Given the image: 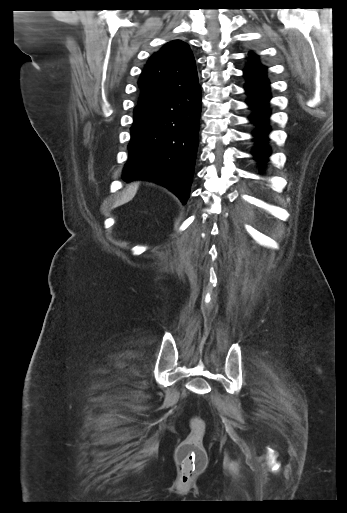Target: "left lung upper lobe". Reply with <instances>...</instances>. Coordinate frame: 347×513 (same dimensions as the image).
Instances as JSON below:
<instances>
[{
	"label": "left lung upper lobe",
	"instance_id": "obj_1",
	"mask_svg": "<svg viewBox=\"0 0 347 513\" xmlns=\"http://www.w3.org/2000/svg\"><path fill=\"white\" fill-rule=\"evenodd\" d=\"M249 56H255L253 53H249Z\"/></svg>",
	"mask_w": 347,
	"mask_h": 513
}]
</instances>
